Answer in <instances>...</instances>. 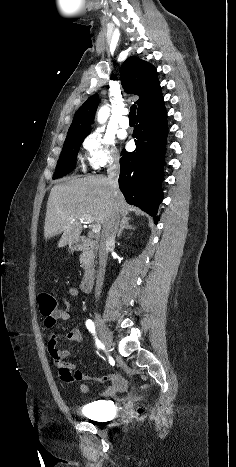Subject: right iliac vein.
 Returning a JSON list of instances; mask_svg holds the SVG:
<instances>
[{
    "label": "right iliac vein",
    "mask_w": 236,
    "mask_h": 467,
    "mask_svg": "<svg viewBox=\"0 0 236 467\" xmlns=\"http://www.w3.org/2000/svg\"><path fill=\"white\" fill-rule=\"evenodd\" d=\"M95 324L97 331L101 337V340L108 352L112 351V337L111 333L105 324V322L102 320V318L99 315L95 316Z\"/></svg>",
    "instance_id": "1"
}]
</instances>
